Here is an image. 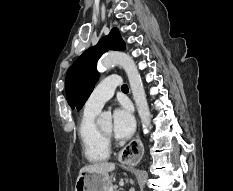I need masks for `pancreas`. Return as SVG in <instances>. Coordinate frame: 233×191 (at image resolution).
Masks as SVG:
<instances>
[{
    "instance_id": "obj_1",
    "label": "pancreas",
    "mask_w": 233,
    "mask_h": 191,
    "mask_svg": "<svg viewBox=\"0 0 233 191\" xmlns=\"http://www.w3.org/2000/svg\"><path fill=\"white\" fill-rule=\"evenodd\" d=\"M116 186H113V185H110L107 189V191H114L113 189L115 188Z\"/></svg>"
}]
</instances>
